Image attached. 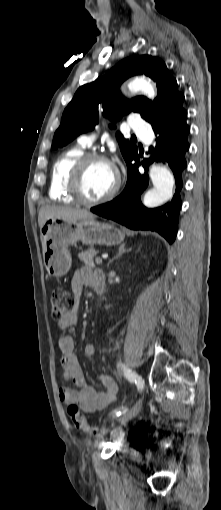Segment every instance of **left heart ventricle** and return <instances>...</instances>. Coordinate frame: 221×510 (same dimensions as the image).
Listing matches in <instances>:
<instances>
[{"label":"left heart ventricle","instance_id":"obj_1","mask_svg":"<svg viewBox=\"0 0 221 510\" xmlns=\"http://www.w3.org/2000/svg\"><path fill=\"white\" fill-rule=\"evenodd\" d=\"M116 182L114 167L102 161H95L87 166L82 188L88 199H97L111 191Z\"/></svg>","mask_w":221,"mask_h":510}]
</instances>
